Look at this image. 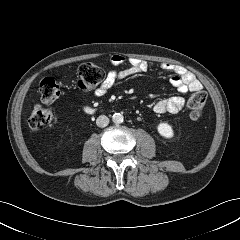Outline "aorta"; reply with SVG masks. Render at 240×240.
<instances>
[{
    "instance_id": "762f6f07",
    "label": "aorta",
    "mask_w": 240,
    "mask_h": 240,
    "mask_svg": "<svg viewBox=\"0 0 240 240\" xmlns=\"http://www.w3.org/2000/svg\"><path fill=\"white\" fill-rule=\"evenodd\" d=\"M123 115L121 113H114L113 116H112V121L115 123V124H120L123 122Z\"/></svg>"
}]
</instances>
